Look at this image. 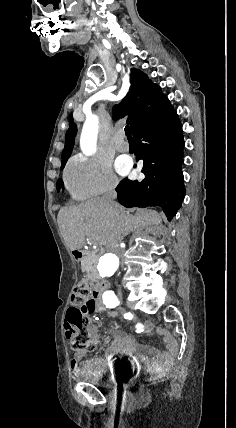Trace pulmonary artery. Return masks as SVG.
I'll return each mask as SVG.
<instances>
[{
    "instance_id": "obj_1",
    "label": "pulmonary artery",
    "mask_w": 236,
    "mask_h": 428,
    "mask_svg": "<svg viewBox=\"0 0 236 428\" xmlns=\"http://www.w3.org/2000/svg\"><path fill=\"white\" fill-rule=\"evenodd\" d=\"M116 149L119 152H128L129 151V144L126 141L119 142Z\"/></svg>"
}]
</instances>
